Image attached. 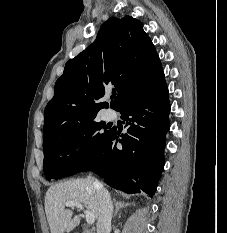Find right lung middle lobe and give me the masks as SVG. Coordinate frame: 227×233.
I'll use <instances>...</instances> for the list:
<instances>
[{
	"label": "right lung middle lobe",
	"mask_w": 227,
	"mask_h": 233,
	"mask_svg": "<svg viewBox=\"0 0 227 233\" xmlns=\"http://www.w3.org/2000/svg\"><path fill=\"white\" fill-rule=\"evenodd\" d=\"M110 133L111 129L104 123L94 120L43 145V167L47 180L82 171L93 161Z\"/></svg>",
	"instance_id": "obj_1"
}]
</instances>
